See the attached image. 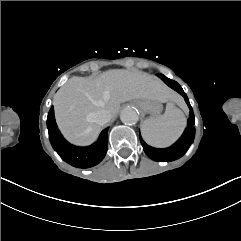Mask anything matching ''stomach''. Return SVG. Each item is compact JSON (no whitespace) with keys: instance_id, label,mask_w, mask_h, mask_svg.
Listing matches in <instances>:
<instances>
[{"instance_id":"1","label":"stomach","mask_w":241,"mask_h":241,"mask_svg":"<svg viewBox=\"0 0 241 241\" xmlns=\"http://www.w3.org/2000/svg\"><path fill=\"white\" fill-rule=\"evenodd\" d=\"M136 103L143 112L149 113L152 117H157L161 111V104L156 100L141 99Z\"/></svg>"}]
</instances>
